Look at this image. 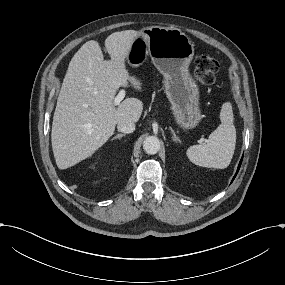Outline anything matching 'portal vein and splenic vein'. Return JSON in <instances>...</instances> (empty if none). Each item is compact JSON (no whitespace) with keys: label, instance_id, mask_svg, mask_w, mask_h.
Segmentation results:
<instances>
[{"label":"portal vein and splenic vein","instance_id":"obj_1","mask_svg":"<svg viewBox=\"0 0 285 285\" xmlns=\"http://www.w3.org/2000/svg\"><path fill=\"white\" fill-rule=\"evenodd\" d=\"M125 97V90L121 89L119 91V93L117 94V96L114 98V106H118L120 104V102L124 99Z\"/></svg>","mask_w":285,"mask_h":285}]
</instances>
